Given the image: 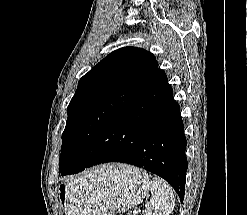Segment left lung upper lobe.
I'll list each match as a JSON object with an SVG mask.
<instances>
[{
	"label": "left lung upper lobe",
	"instance_id": "5c2ea615",
	"mask_svg": "<svg viewBox=\"0 0 247 215\" xmlns=\"http://www.w3.org/2000/svg\"><path fill=\"white\" fill-rule=\"evenodd\" d=\"M158 69L144 49H118L79 81L62 134L59 173L73 165L81 148L104 136Z\"/></svg>",
	"mask_w": 247,
	"mask_h": 215
}]
</instances>
